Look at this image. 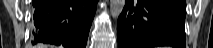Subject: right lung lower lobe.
<instances>
[{
  "instance_id": "obj_1",
  "label": "right lung lower lobe",
  "mask_w": 213,
  "mask_h": 48,
  "mask_svg": "<svg viewBox=\"0 0 213 48\" xmlns=\"http://www.w3.org/2000/svg\"><path fill=\"white\" fill-rule=\"evenodd\" d=\"M98 0H33V44L85 48Z\"/></svg>"
}]
</instances>
